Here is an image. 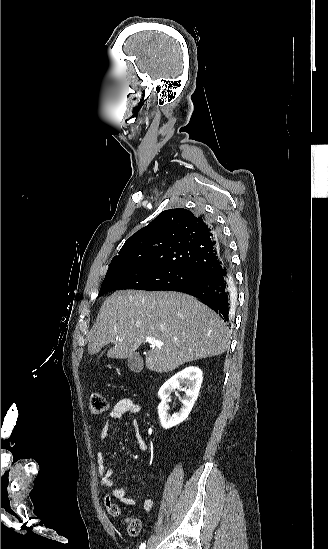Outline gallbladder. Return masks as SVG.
<instances>
[{
  "mask_svg": "<svg viewBox=\"0 0 328 549\" xmlns=\"http://www.w3.org/2000/svg\"><path fill=\"white\" fill-rule=\"evenodd\" d=\"M127 361L130 371H133V373H141L143 369V361L139 353H134V355L128 357Z\"/></svg>",
  "mask_w": 328,
  "mask_h": 549,
  "instance_id": "gallbladder-1",
  "label": "gallbladder"
}]
</instances>
